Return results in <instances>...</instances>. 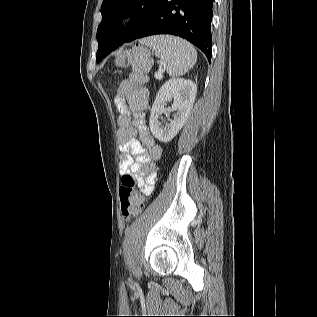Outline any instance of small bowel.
<instances>
[{
    "label": "small bowel",
    "mask_w": 317,
    "mask_h": 317,
    "mask_svg": "<svg viewBox=\"0 0 317 317\" xmlns=\"http://www.w3.org/2000/svg\"><path fill=\"white\" fill-rule=\"evenodd\" d=\"M114 102L119 112L120 174L133 175L141 193L149 196L154 189L155 166L162 148L151 135L144 119L148 91L127 79L119 85Z\"/></svg>",
    "instance_id": "1"
}]
</instances>
